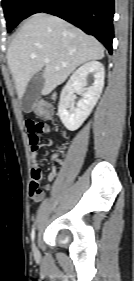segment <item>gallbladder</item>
Instances as JSON below:
<instances>
[{"label":"gallbladder","mask_w":134,"mask_h":281,"mask_svg":"<svg viewBox=\"0 0 134 281\" xmlns=\"http://www.w3.org/2000/svg\"><path fill=\"white\" fill-rule=\"evenodd\" d=\"M44 84L45 79L42 72L36 73L31 78L21 99V107L24 112L28 113L33 110L34 103L40 97Z\"/></svg>","instance_id":"1"}]
</instances>
